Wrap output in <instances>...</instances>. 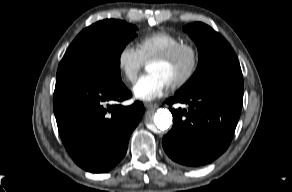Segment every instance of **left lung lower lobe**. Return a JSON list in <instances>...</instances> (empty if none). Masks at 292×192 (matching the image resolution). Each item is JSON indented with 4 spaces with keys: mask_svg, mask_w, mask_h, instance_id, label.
Instances as JSON below:
<instances>
[{
    "mask_svg": "<svg viewBox=\"0 0 292 192\" xmlns=\"http://www.w3.org/2000/svg\"><path fill=\"white\" fill-rule=\"evenodd\" d=\"M166 102L189 108H169L174 125L162 140L163 148L173 161L196 167L214 161L228 148L241 112L243 87L205 88L175 94Z\"/></svg>",
    "mask_w": 292,
    "mask_h": 192,
    "instance_id": "left-lung-lower-lobe-1",
    "label": "left lung lower lobe"
}]
</instances>
